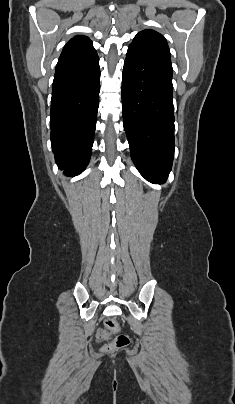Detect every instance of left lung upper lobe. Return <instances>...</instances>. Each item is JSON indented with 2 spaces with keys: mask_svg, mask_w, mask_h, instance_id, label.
<instances>
[{
  "mask_svg": "<svg viewBox=\"0 0 235 404\" xmlns=\"http://www.w3.org/2000/svg\"><path fill=\"white\" fill-rule=\"evenodd\" d=\"M130 46L145 49L171 60L166 39L160 33L154 30L149 29L139 32L133 39Z\"/></svg>",
  "mask_w": 235,
  "mask_h": 404,
  "instance_id": "1",
  "label": "left lung upper lobe"
}]
</instances>
